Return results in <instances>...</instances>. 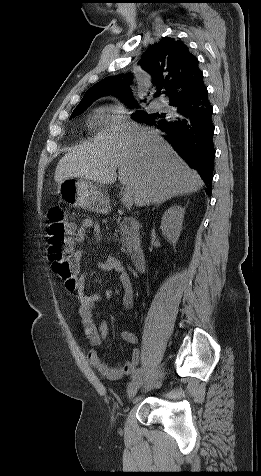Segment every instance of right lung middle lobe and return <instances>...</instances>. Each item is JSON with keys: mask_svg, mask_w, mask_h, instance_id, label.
Instances as JSON below:
<instances>
[{"mask_svg": "<svg viewBox=\"0 0 261 476\" xmlns=\"http://www.w3.org/2000/svg\"><path fill=\"white\" fill-rule=\"evenodd\" d=\"M87 107H88V105H82V106H79V107L75 108L74 111L72 112L70 118L81 114ZM163 116H164L163 114H158V113L157 114H147V113H144V112H136L135 114H133L134 119H136L138 121H141V122H144V123L153 122L155 120H158V119L162 118Z\"/></svg>", "mask_w": 261, "mask_h": 476, "instance_id": "right-lung-middle-lobe-1", "label": "right lung middle lobe"}]
</instances>
